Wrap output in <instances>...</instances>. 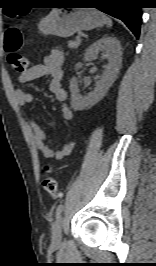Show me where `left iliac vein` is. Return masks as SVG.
I'll return each instance as SVG.
<instances>
[{
  "mask_svg": "<svg viewBox=\"0 0 156 266\" xmlns=\"http://www.w3.org/2000/svg\"><path fill=\"white\" fill-rule=\"evenodd\" d=\"M62 224H63V218L59 216L52 225L51 241H52V244L55 246H58L62 240V231H61Z\"/></svg>",
  "mask_w": 156,
  "mask_h": 266,
  "instance_id": "1",
  "label": "left iliac vein"
}]
</instances>
